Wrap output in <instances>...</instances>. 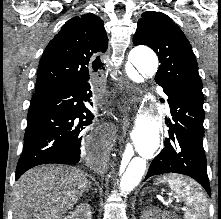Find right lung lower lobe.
I'll return each mask as SVG.
<instances>
[{"label": "right lung lower lobe", "instance_id": "98d812e1", "mask_svg": "<svg viewBox=\"0 0 221 219\" xmlns=\"http://www.w3.org/2000/svg\"><path fill=\"white\" fill-rule=\"evenodd\" d=\"M93 91V85L87 81L32 96L15 180L40 164L79 162L84 126L93 118L86 107L91 104ZM96 150L93 147L95 155Z\"/></svg>", "mask_w": 221, "mask_h": 219}]
</instances>
